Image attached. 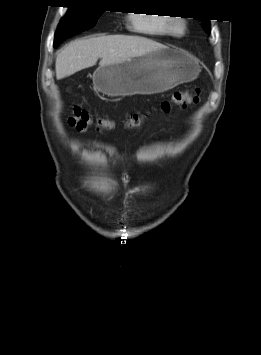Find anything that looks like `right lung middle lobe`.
Masks as SVG:
<instances>
[{"label": "right lung middle lobe", "instance_id": "1", "mask_svg": "<svg viewBox=\"0 0 261 355\" xmlns=\"http://www.w3.org/2000/svg\"><path fill=\"white\" fill-rule=\"evenodd\" d=\"M66 15L62 18L54 41L65 40L95 26L98 18L104 12L96 8H87L73 5L68 7Z\"/></svg>", "mask_w": 261, "mask_h": 355}]
</instances>
